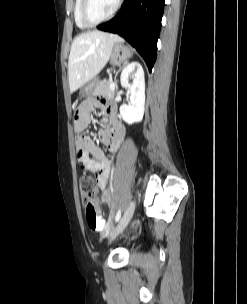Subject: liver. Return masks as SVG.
<instances>
[{
    "mask_svg": "<svg viewBox=\"0 0 247 304\" xmlns=\"http://www.w3.org/2000/svg\"><path fill=\"white\" fill-rule=\"evenodd\" d=\"M117 42H122L119 36L101 31H89L75 37L68 61L71 93L93 79L104 68Z\"/></svg>",
    "mask_w": 247,
    "mask_h": 304,
    "instance_id": "6515ba94",
    "label": "liver"
}]
</instances>
